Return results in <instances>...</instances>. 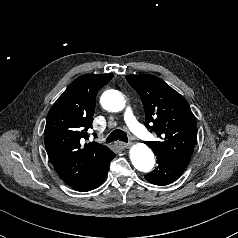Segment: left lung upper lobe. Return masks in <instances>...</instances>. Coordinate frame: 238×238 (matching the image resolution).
<instances>
[{
	"mask_svg": "<svg viewBox=\"0 0 238 238\" xmlns=\"http://www.w3.org/2000/svg\"><path fill=\"white\" fill-rule=\"evenodd\" d=\"M126 79L141 97L145 126L159 137V141L146 144L155 155L189 162L197 140V124L188 102L156 76L127 75Z\"/></svg>",
	"mask_w": 238,
	"mask_h": 238,
	"instance_id": "left-lung-upper-lobe-1",
	"label": "left lung upper lobe"
}]
</instances>
